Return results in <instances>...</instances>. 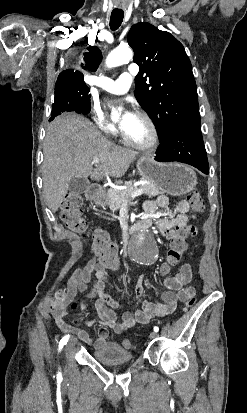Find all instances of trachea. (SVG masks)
I'll return each instance as SVG.
<instances>
[{"mask_svg":"<svg viewBox=\"0 0 247 413\" xmlns=\"http://www.w3.org/2000/svg\"><path fill=\"white\" fill-rule=\"evenodd\" d=\"M124 13L122 11L112 12L110 19L111 30H117L123 21Z\"/></svg>","mask_w":247,"mask_h":413,"instance_id":"3493384b","label":"trachea"}]
</instances>
